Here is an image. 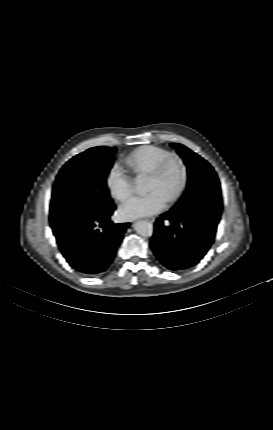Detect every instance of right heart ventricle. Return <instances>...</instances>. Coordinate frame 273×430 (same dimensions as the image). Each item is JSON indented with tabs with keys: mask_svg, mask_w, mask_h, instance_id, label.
I'll return each mask as SVG.
<instances>
[{
	"mask_svg": "<svg viewBox=\"0 0 273 430\" xmlns=\"http://www.w3.org/2000/svg\"><path fill=\"white\" fill-rule=\"evenodd\" d=\"M170 154L165 148L146 145L128 154L124 163L137 176L149 175Z\"/></svg>",
	"mask_w": 273,
	"mask_h": 430,
	"instance_id": "obj_1",
	"label": "right heart ventricle"
}]
</instances>
